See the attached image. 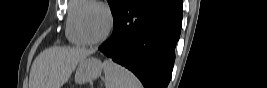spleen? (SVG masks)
<instances>
[{"label": "spleen", "instance_id": "1", "mask_svg": "<svg viewBox=\"0 0 267 88\" xmlns=\"http://www.w3.org/2000/svg\"><path fill=\"white\" fill-rule=\"evenodd\" d=\"M106 88H143L139 79L128 69L106 60L103 63Z\"/></svg>", "mask_w": 267, "mask_h": 88}]
</instances>
